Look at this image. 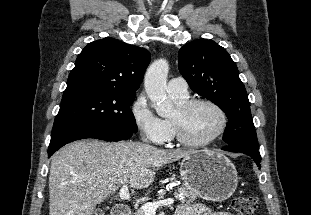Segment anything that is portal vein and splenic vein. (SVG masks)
Wrapping results in <instances>:
<instances>
[{"label":"portal vein and splenic vein","instance_id":"18ae733b","mask_svg":"<svg viewBox=\"0 0 311 215\" xmlns=\"http://www.w3.org/2000/svg\"><path fill=\"white\" fill-rule=\"evenodd\" d=\"M119 197L122 200H129L130 194L128 190V186L126 184L122 185L120 191H119ZM174 203L173 198H168L165 200H160L157 202H147L141 206V209L143 210L145 215H155L156 209L162 206H169Z\"/></svg>","mask_w":311,"mask_h":215}]
</instances>
